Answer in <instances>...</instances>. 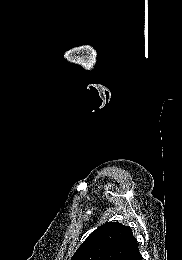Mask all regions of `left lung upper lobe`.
<instances>
[{
  "label": "left lung upper lobe",
  "mask_w": 182,
  "mask_h": 260,
  "mask_svg": "<svg viewBox=\"0 0 182 260\" xmlns=\"http://www.w3.org/2000/svg\"><path fill=\"white\" fill-rule=\"evenodd\" d=\"M135 243L130 227L108 222L87 237L71 260H123Z\"/></svg>",
  "instance_id": "5c2ea615"
}]
</instances>
